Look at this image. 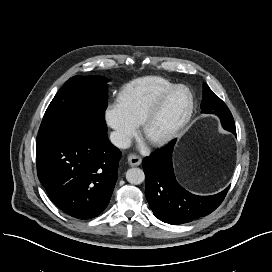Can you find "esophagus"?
<instances>
[{
	"instance_id": "obj_1",
	"label": "esophagus",
	"mask_w": 272,
	"mask_h": 272,
	"mask_svg": "<svg viewBox=\"0 0 272 272\" xmlns=\"http://www.w3.org/2000/svg\"><path fill=\"white\" fill-rule=\"evenodd\" d=\"M128 162L130 166H139L142 162V159L138 155L130 154L128 156Z\"/></svg>"
}]
</instances>
